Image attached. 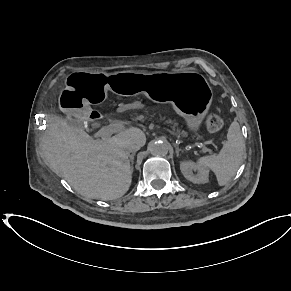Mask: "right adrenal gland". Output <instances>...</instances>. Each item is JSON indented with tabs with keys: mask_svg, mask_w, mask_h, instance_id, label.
<instances>
[{
	"mask_svg": "<svg viewBox=\"0 0 291 291\" xmlns=\"http://www.w3.org/2000/svg\"><path fill=\"white\" fill-rule=\"evenodd\" d=\"M134 156H135V153H132L130 156H129V159H130V162H131V171L133 172V164H134Z\"/></svg>",
	"mask_w": 291,
	"mask_h": 291,
	"instance_id": "2a0ac1e0",
	"label": "right adrenal gland"
}]
</instances>
